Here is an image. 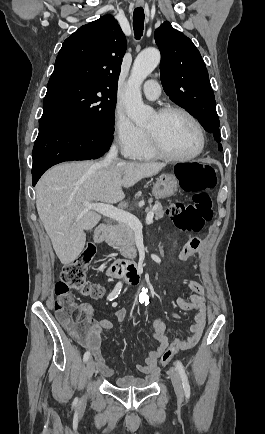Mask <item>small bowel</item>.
I'll return each mask as SVG.
<instances>
[{"label": "small bowel", "instance_id": "1", "mask_svg": "<svg viewBox=\"0 0 265 434\" xmlns=\"http://www.w3.org/2000/svg\"><path fill=\"white\" fill-rule=\"evenodd\" d=\"M201 239L196 236H189L188 241L183 246L178 255V260L181 264H186L188 260L194 256L200 249ZM188 293L185 297H178L175 300L176 306L183 311H196L192 322L189 326V334L184 338L183 348L180 351H186L193 348L199 341L207 318V304H206V288L204 285L193 279H187L185 281ZM84 314L82 321L83 329L79 335L81 344L91 350L97 358L95 362L101 365L104 359L101 354V339L102 336L107 333L111 327L112 322L107 318L95 320L91 314L93 312L92 307L86 304H80L76 306ZM114 317L117 321L122 322L127 316L125 308H120L114 311ZM172 316L176 319H182L179 313L173 312ZM153 339L158 343L157 347L147 352L145 358L141 363L137 365V369L145 373L143 378H121L119 385L121 387H149L150 382H154L160 376L157 371V360L165 351L166 342L168 339L165 333V324L162 318L155 319Z\"/></svg>", "mask_w": 265, "mask_h": 434}]
</instances>
